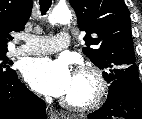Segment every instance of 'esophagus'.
I'll return each mask as SVG.
<instances>
[{"mask_svg": "<svg viewBox=\"0 0 142 119\" xmlns=\"http://www.w3.org/2000/svg\"><path fill=\"white\" fill-rule=\"evenodd\" d=\"M48 112H49V118L50 119H60L59 114L57 112H55L52 108H50L48 110Z\"/></svg>", "mask_w": 142, "mask_h": 119, "instance_id": "1", "label": "esophagus"}]
</instances>
